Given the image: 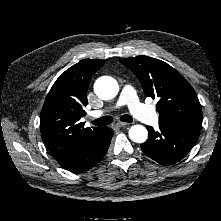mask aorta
Wrapping results in <instances>:
<instances>
[{
    "label": "aorta",
    "mask_w": 221,
    "mask_h": 221,
    "mask_svg": "<svg viewBox=\"0 0 221 221\" xmlns=\"http://www.w3.org/2000/svg\"><path fill=\"white\" fill-rule=\"evenodd\" d=\"M118 91L117 81L109 76L100 77L94 84V92L102 100L114 98ZM129 137L133 142L143 143L147 140L148 131L142 125H134L129 129Z\"/></svg>",
    "instance_id": "762f6f07"
}]
</instances>
